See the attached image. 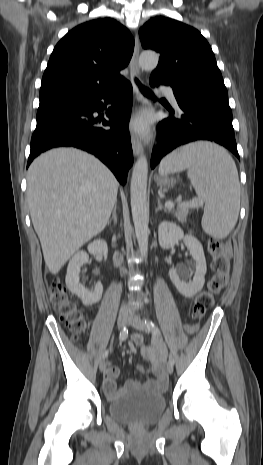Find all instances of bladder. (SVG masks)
<instances>
[{
    "label": "bladder",
    "mask_w": 263,
    "mask_h": 465,
    "mask_svg": "<svg viewBox=\"0 0 263 465\" xmlns=\"http://www.w3.org/2000/svg\"><path fill=\"white\" fill-rule=\"evenodd\" d=\"M166 407L161 393L140 388L123 393L108 404L110 417L120 423L147 427L158 422Z\"/></svg>",
    "instance_id": "31cf9c89"
}]
</instances>
